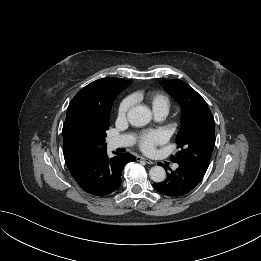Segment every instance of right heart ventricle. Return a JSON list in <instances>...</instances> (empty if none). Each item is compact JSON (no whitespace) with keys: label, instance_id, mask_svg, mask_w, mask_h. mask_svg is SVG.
<instances>
[{"label":"right heart ventricle","instance_id":"e07e8e85","mask_svg":"<svg viewBox=\"0 0 261 261\" xmlns=\"http://www.w3.org/2000/svg\"><path fill=\"white\" fill-rule=\"evenodd\" d=\"M131 99L133 101L145 100L151 106L155 115H166L171 107L170 98L162 92L134 93Z\"/></svg>","mask_w":261,"mask_h":261}]
</instances>
